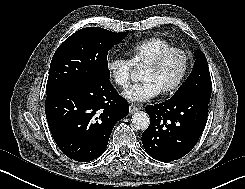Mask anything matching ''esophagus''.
<instances>
[{"label":"esophagus","mask_w":245,"mask_h":189,"mask_svg":"<svg viewBox=\"0 0 245 189\" xmlns=\"http://www.w3.org/2000/svg\"><path fill=\"white\" fill-rule=\"evenodd\" d=\"M139 110V107L134 105V104H130L129 106V113L130 114H133L134 112L138 111Z\"/></svg>","instance_id":"esophagus-1"}]
</instances>
